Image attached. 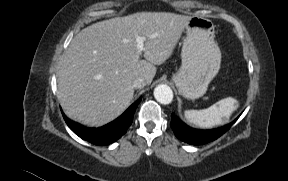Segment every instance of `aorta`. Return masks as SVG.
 <instances>
[{"mask_svg":"<svg viewBox=\"0 0 288 181\" xmlns=\"http://www.w3.org/2000/svg\"><path fill=\"white\" fill-rule=\"evenodd\" d=\"M154 97L161 104H170L173 100V91L166 84H160L154 89Z\"/></svg>","mask_w":288,"mask_h":181,"instance_id":"obj_1","label":"aorta"}]
</instances>
